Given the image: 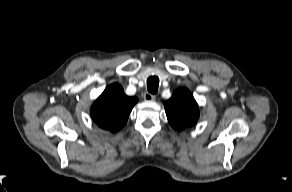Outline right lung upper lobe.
<instances>
[{
  "label": "right lung upper lobe",
  "mask_w": 292,
  "mask_h": 192,
  "mask_svg": "<svg viewBox=\"0 0 292 192\" xmlns=\"http://www.w3.org/2000/svg\"><path fill=\"white\" fill-rule=\"evenodd\" d=\"M137 102L136 97H128L118 83H113L96 99L90 114L99 127L117 132L126 124Z\"/></svg>",
  "instance_id": "1"
}]
</instances>
